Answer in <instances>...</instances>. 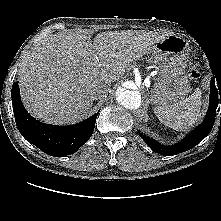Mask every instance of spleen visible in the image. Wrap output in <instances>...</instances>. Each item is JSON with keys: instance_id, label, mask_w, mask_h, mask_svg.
I'll list each match as a JSON object with an SVG mask.
<instances>
[{"instance_id": "spleen-1", "label": "spleen", "mask_w": 221, "mask_h": 221, "mask_svg": "<svg viewBox=\"0 0 221 221\" xmlns=\"http://www.w3.org/2000/svg\"><path fill=\"white\" fill-rule=\"evenodd\" d=\"M201 91L196 89L193 94L179 103L155 107L158 119L167 127L176 131H186L198 122L201 114Z\"/></svg>"}]
</instances>
